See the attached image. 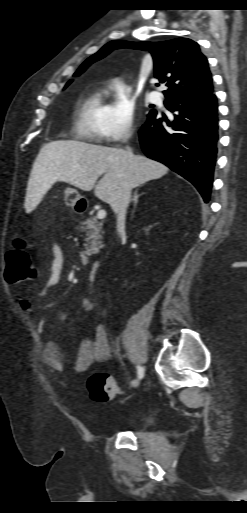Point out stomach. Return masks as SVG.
<instances>
[{
    "label": "stomach",
    "instance_id": "stomach-1",
    "mask_svg": "<svg viewBox=\"0 0 247 513\" xmlns=\"http://www.w3.org/2000/svg\"><path fill=\"white\" fill-rule=\"evenodd\" d=\"M82 196L78 193V191L74 188H67L65 192V202L67 205L73 207L75 211H77L76 207L78 206V202L81 201Z\"/></svg>",
    "mask_w": 247,
    "mask_h": 513
}]
</instances>
